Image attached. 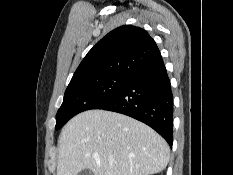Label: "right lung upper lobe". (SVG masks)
<instances>
[{"label": "right lung upper lobe", "instance_id": "right-lung-upper-lobe-1", "mask_svg": "<svg viewBox=\"0 0 233 175\" xmlns=\"http://www.w3.org/2000/svg\"><path fill=\"white\" fill-rule=\"evenodd\" d=\"M161 59L155 41L145 30L132 25L120 26L88 52L70 83L105 74L133 76Z\"/></svg>", "mask_w": 233, "mask_h": 175}]
</instances>
